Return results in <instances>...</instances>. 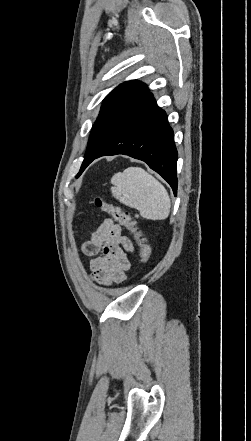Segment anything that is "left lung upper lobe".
Masks as SVG:
<instances>
[{
    "instance_id": "1",
    "label": "left lung upper lobe",
    "mask_w": 251,
    "mask_h": 441,
    "mask_svg": "<svg viewBox=\"0 0 251 441\" xmlns=\"http://www.w3.org/2000/svg\"><path fill=\"white\" fill-rule=\"evenodd\" d=\"M148 92L147 86L137 80L120 84L105 98L97 120L109 115L127 114L133 105ZM81 173L80 169L77 177Z\"/></svg>"
}]
</instances>
